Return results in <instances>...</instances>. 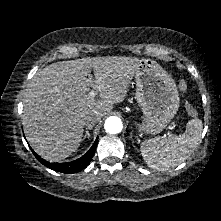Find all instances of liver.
I'll list each match as a JSON object with an SVG mask.
<instances>
[{
	"mask_svg": "<svg viewBox=\"0 0 221 221\" xmlns=\"http://www.w3.org/2000/svg\"><path fill=\"white\" fill-rule=\"evenodd\" d=\"M139 61L126 56L87 57L38 71L25 92L22 116L34 151L49 161L75 152L82 140L84 116L96 115L100 120L122 102ZM90 88L99 92L100 100L89 98Z\"/></svg>",
	"mask_w": 221,
	"mask_h": 221,
	"instance_id": "6515ba94",
	"label": "liver"
}]
</instances>
